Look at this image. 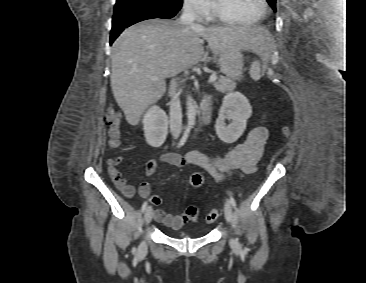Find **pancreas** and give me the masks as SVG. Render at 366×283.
Returning a JSON list of instances; mask_svg holds the SVG:
<instances>
[{
  "instance_id": "pancreas-1",
  "label": "pancreas",
  "mask_w": 366,
  "mask_h": 283,
  "mask_svg": "<svg viewBox=\"0 0 366 283\" xmlns=\"http://www.w3.org/2000/svg\"><path fill=\"white\" fill-rule=\"evenodd\" d=\"M216 90L219 92L232 91L236 87L233 79L221 76L214 84Z\"/></svg>"
}]
</instances>
